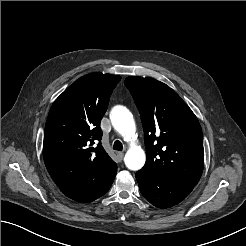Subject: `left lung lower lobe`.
I'll list each match as a JSON object with an SVG mask.
<instances>
[{
  "instance_id": "0a47b994",
  "label": "left lung lower lobe",
  "mask_w": 246,
  "mask_h": 246,
  "mask_svg": "<svg viewBox=\"0 0 246 246\" xmlns=\"http://www.w3.org/2000/svg\"><path fill=\"white\" fill-rule=\"evenodd\" d=\"M136 179L142 195L158 208H170L180 203L194 188L193 185L140 170Z\"/></svg>"
}]
</instances>
